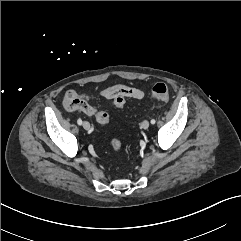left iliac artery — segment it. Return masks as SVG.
<instances>
[{
  "label": "left iliac artery",
  "instance_id": "left-iliac-artery-1",
  "mask_svg": "<svg viewBox=\"0 0 241 241\" xmlns=\"http://www.w3.org/2000/svg\"><path fill=\"white\" fill-rule=\"evenodd\" d=\"M150 122H151V124H155L156 121H155V119H151Z\"/></svg>",
  "mask_w": 241,
  "mask_h": 241
}]
</instances>
